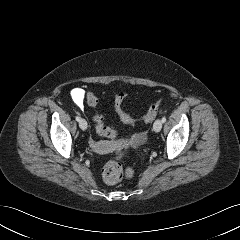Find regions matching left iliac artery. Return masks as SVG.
<instances>
[{
	"instance_id": "obj_1",
	"label": "left iliac artery",
	"mask_w": 240,
	"mask_h": 240,
	"mask_svg": "<svg viewBox=\"0 0 240 240\" xmlns=\"http://www.w3.org/2000/svg\"><path fill=\"white\" fill-rule=\"evenodd\" d=\"M161 121H162V123H165L166 122V117L164 116Z\"/></svg>"
}]
</instances>
